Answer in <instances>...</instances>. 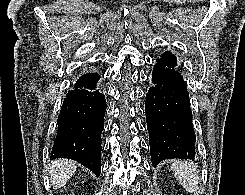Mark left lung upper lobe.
<instances>
[{
    "instance_id": "1",
    "label": "left lung upper lobe",
    "mask_w": 245,
    "mask_h": 195,
    "mask_svg": "<svg viewBox=\"0 0 245 195\" xmlns=\"http://www.w3.org/2000/svg\"><path fill=\"white\" fill-rule=\"evenodd\" d=\"M161 58H164V59H166V60L172 62L175 66H177V59H176V57H175L172 53H170V52H165V53L161 56Z\"/></svg>"
}]
</instances>
